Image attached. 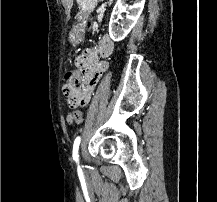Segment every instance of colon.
Returning <instances> with one entry per match:
<instances>
[{
	"label": "colon",
	"mask_w": 217,
	"mask_h": 202,
	"mask_svg": "<svg viewBox=\"0 0 217 202\" xmlns=\"http://www.w3.org/2000/svg\"><path fill=\"white\" fill-rule=\"evenodd\" d=\"M88 25L90 26L91 23L89 20H87ZM94 73L98 72V69L93 70ZM85 74V73H84ZM66 83L62 88L63 94L65 95L68 105H77L79 102H87L89 96H81L84 94L83 90H78V88H84L80 87L79 83L81 82V73L77 71H69L66 75ZM75 116H74V122L75 123H82L83 117L81 115L80 110H75ZM69 117V116H68Z\"/></svg>",
	"instance_id": "1"
}]
</instances>
